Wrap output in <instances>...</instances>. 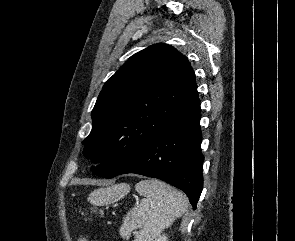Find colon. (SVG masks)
Masks as SVG:
<instances>
[{"label":"colon","instance_id":"obj_1","mask_svg":"<svg viewBox=\"0 0 295 241\" xmlns=\"http://www.w3.org/2000/svg\"><path fill=\"white\" fill-rule=\"evenodd\" d=\"M77 241H91V240H88L86 238H79V239H77Z\"/></svg>","mask_w":295,"mask_h":241}]
</instances>
